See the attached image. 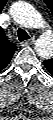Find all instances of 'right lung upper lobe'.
<instances>
[{"mask_svg":"<svg viewBox=\"0 0 53 120\" xmlns=\"http://www.w3.org/2000/svg\"><path fill=\"white\" fill-rule=\"evenodd\" d=\"M5 41V45L1 52V54L3 55L2 57H5L6 59L4 66H6L9 63L10 59L12 58V55L17 50L16 46L9 42L7 38H5Z\"/></svg>","mask_w":53,"mask_h":120,"instance_id":"1","label":"right lung upper lobe"}]
</instances>
